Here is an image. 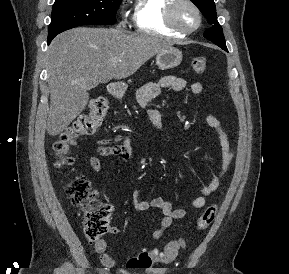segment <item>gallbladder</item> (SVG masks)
Instances as JSON below:
<instances>
[{
    "label": "gallbladder",
    "instance_id": "1",
    "mask_svg": "<svg viewBox=\"0 0 289 274\" xmlns=\"http://www.w3.org/2000/svg\"><path fill=\"white\" fill-rule=\"evenodd\" d=\"M98 84H99V83H92V84H90V89H93V88L97 87Z\"/></svg>",
    "mask_w": 289,
    "mask_h": 274
}]
</instances>
